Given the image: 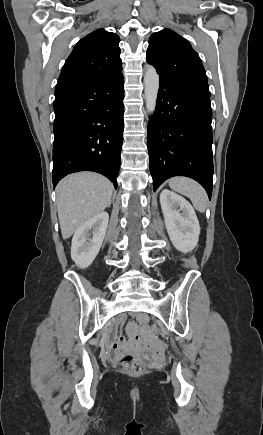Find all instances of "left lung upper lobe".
<instances>
[{"label": "left lung upper lobe", "instance_id": "5c2ea615", "mask_svg": "<svg viewBox=\"0 0 263 435\" xmlns=\"http://www.w3.org/2000/svg\"><path fill=\"white\" fill-rule=\"evenodd\" d=\"M146 60L160 77L209 90L207 76L190 43L169 29L151 35Z\"/></svg>", "mask_w": 263, "mask_h": 435}]
</instances>
